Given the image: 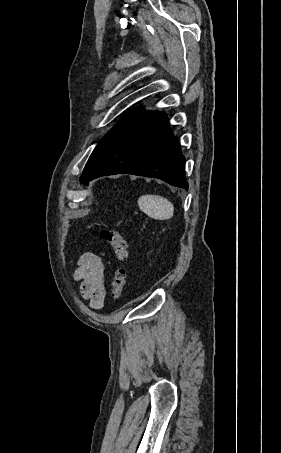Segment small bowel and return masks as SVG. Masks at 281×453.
<instances>
[{
	"label": "small bowel",
	"instance_id": "obj_1",
	"mask_svg": "<svg viewBox=\"0 0 281 453\" xmlns=\"http://www.w3.org/2000/svg\"><path fill=\"white\" fill-rule=\"evenodd\" d=\"M104 264L97 254L86 253L79 259L75 278L80 283V293L93 310H100L106 298Z\"/></svg>",
	"mask_w": 281,
	"mask_h": 453
}]
</instances>
